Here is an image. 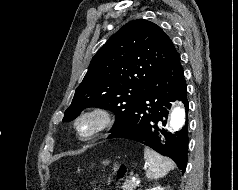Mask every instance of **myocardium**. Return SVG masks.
I'll use <instances>...</instances> for the list:
<instances>
[{
	"instance_id": "1",
	"label": "myocardium",
	"mask_w": 238,
	"mask_h": 190,
	"mask_svg": "<svg viewBox=\"0 0 238 190\" xmlns=\"http://www.w3.org/2000/svg\"><path fill=\"white\" fill-rule=\"evenodd\" d=\"M90 122L91 127L85 129V123ZM113 123L111 112L103 107H92L82 111L74 120L73 126L76 134L82 139H91L107 130Z\"/></svg>"
}]
</instances>
